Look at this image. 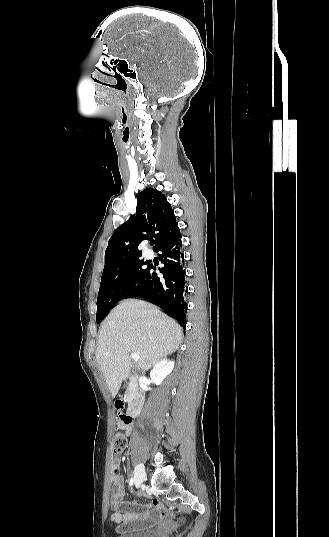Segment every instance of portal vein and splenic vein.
<instances>
[{
  "label": "portal vein and splenic vein",
  "instance_id": "portal-vein-and-splenic-vein-1",
  "mask_svg": "<svg viewBox=\"0 0 329 537\" xmlns=\"http://www.w3.org/2000/svg\"><path fill=\"white\" fill-rule=\"evenodd\" d=\"M131 357H132V359H134V360H139V359H140V356H139L138 354H136V353H132V354H131Z\"/></svg>",
  "mask_w": 329,
  "mask_h": 537
}]
</instances>
